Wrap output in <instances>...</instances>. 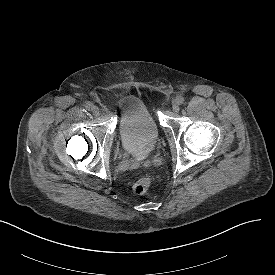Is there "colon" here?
Listing matches in <instances>:
<instances>
[{"label": "colon", "mask_w": 275, "mask_h": 275, "mask_svg": "<svg viewBox=\"0 0 275 275\" xmlns=\"http://www.w3.org/2000/svg\"><path fill=\"white\" fill-rule=\"evenodd\" d=\"M151 184L152 178L148 175L143 176L133 184V192L137 195H144L149 190Z\"/></svg>", "instance_id": "obj_1"}]
</instances>
